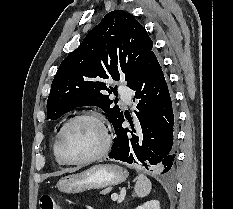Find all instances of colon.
I'll return each mask as SVG.
<instances>
[{
  "label": "colon",
  "instance_id": "colon-1",
  "mask_svg": "<svg viewBox=\"0 0 233 209\" xmlns=\"http://www.w3.org/2000/svg\"><path fill=\"white\" fill-rule=\"evenodd\" d=\"M39 207L40 209H60L50 195H42L39 198Z\"/></svg>",
  "mask_w": 233,
  "mask_h": 209
}]
</instances>
